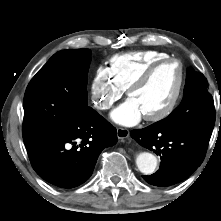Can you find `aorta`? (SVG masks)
Masks as SVG:
<instances>
[{
  "label": "aorta",
  "instance_id": "762f6f07",
  "mask_svg": "<svg viewBox=\"0 0 221 221\" xmlns=\"http://www.w3.org/2000/svg\"><path fill=\"white\" fill-rule=\"evenodd\" d=\"M136 165L140 172L152 174L157 167V158L149 152H142L136 157Z\"/></svg>",
  "mask_w": 221,
  "mask_h": 221
}]
</instances>
